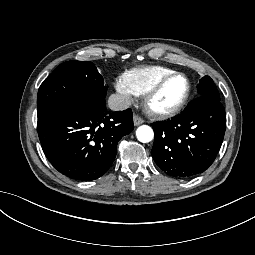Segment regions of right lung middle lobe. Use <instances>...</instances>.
<instances>
[{
	"label": "right lung middle lobe",
	"instance_id": "right-lung-middle-lobe-1",
	"mask_svg": "<svg viewBox=\"0 0 255 255\" xmlns=\"http://www.w3.org/2000/svg\"><path fill=\"white\" fill-rule=\"evenodd\" d=\"M107 87L95 65L89 61L60 64L38 90L37 115L60 101L78 98L97 108L105 107Z\"/></svg>",
	"mask_w": 255,
	"mask_h": 255
}]
</instances>
